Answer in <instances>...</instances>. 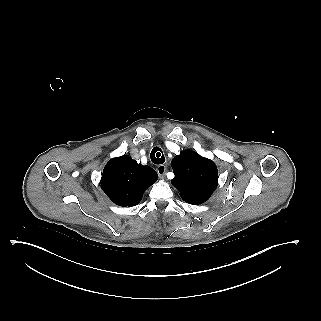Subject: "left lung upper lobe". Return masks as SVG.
Returning <instances> with one entry per match:
<instances>
[{
  "mask_svg": "<svg viewBox=\"0 0 321 321\" xmlns=\"http://www.w3.org/2000/svg\"><path fill=\"white\" fill-rule=\"evenodd\" d=\"M175 178L172 185L189 204H201L209 199L218 184L216 165L192 150H183L171 162Z\"/></svg>",
  "mask_w": 321,
  "mask_h": 321,
  "instance_id": "left-lung-upper-lobe-1",
  "label": "left lung upper lobe"
}]
</instances>
